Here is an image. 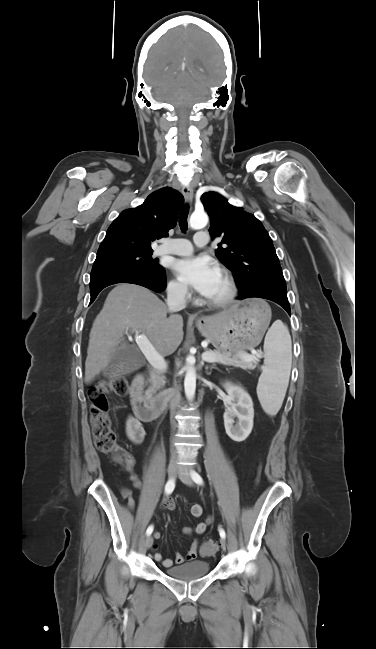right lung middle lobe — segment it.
<instances>
[{"instance_id": "dd1d6c3e", "label": "right lung middle lobe", "mask_w": 376, "mask_h": 649, "mask_svg": "<svg viewBox=\"0 0 376 649\" xmlns=\"http://www.w3.org/2000/svg\"><path fill=\"white\" fill-rule=\"evenodd\" d=\"M153 251H118L97 254L92 271L97 272L111 267L159 270L161 266L152 259Z\"/></svg>"}]
</instances>
